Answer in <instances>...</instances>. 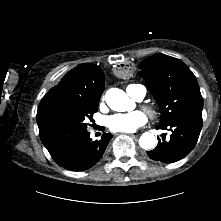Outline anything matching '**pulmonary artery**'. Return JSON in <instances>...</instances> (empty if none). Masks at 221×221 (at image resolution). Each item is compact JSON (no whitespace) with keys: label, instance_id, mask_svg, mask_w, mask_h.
Segmentation results:
<instances>
[{"label":"pulmonary artery","instance_id":"1","mask_svg":"<svg viewBox=\"0 0 221 221\" xmlns=\"http://www.w3.org/2000/svg\"><path fill=\"white\" fill-rule=\"evenodd\" d=\"M127 93L135 100L140 101L145 97L146 89L140 84H131L127 87Z\"/></svg>","mask_w":221,"mask_h":221}]
</instances>
